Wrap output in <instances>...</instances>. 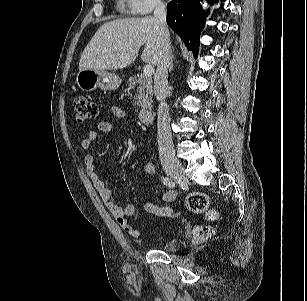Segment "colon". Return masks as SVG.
Masks as SVG:
<instances>
[{
    "mask_svg": "<svg viewBox=\"0 0 307 301\" xmlns=\"http://www.w3.org/2000/svg\"><path fill=\"white\" fill-rule=\"evenodd\" d=\"M72 107L76 121L84 123L95 119L98 114L97 104L86 97L77 96L73 99ZM186 207L193 213L205 214L209 219H215L217 212L210 208L209 197L202 192H194L187 196ZM193 236L196 241H203L213 234L211 227L202 226L193 229Z\"/></svg>",
    "mask_w": 307,
    "mask_h": 301,
    "instance_id": "1",
    "label": "colon"
}]
</instances>
